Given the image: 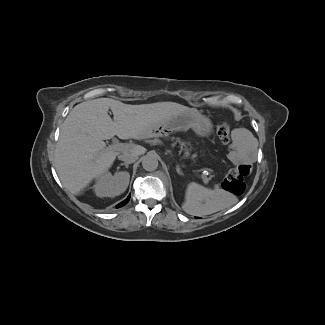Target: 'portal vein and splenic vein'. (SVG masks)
<instances>
[{
	"mask_svg": "<svg viewBox=\"0 0 325 325\" xmlns=\"http://www.w3.org/2000/svg\"><path fill=\"white\" fill-rule=\"evenodd\" d=\"M135 146L131 145V144H127V143H119V142H116V143H113L112 145L109 146V148L111 149H114V150H117V151H127V150H131L133 149ZM203 182L205 184L208 183V178L204 177V176H201Z\"/></svg>",
	"mask_w": 325,
	"mask_h": 325,
	"instance_id": "obj_1",
	"label": "portal vein and splenic vein"
}]
</instances>
